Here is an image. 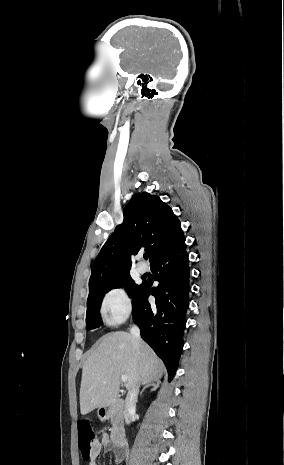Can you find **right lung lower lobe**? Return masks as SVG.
Listing matches in <instances>:
<instances>
[{"mask_svg": "<svg viewBox=\"0 0 284 465\" xmlns=\"http://www.w3.org/2000/svg\"><path fill=\"white\" fill-rule=\"evenodd\" d=\"M151 271L157 287L141 284L132 298L133 320L139 326L142 339L163 360L169 381L174 377L184 345L183 334L191 292V275L185 237L156 258ZM156 297L155 303L148 296Z\"/></svg>", "mask_w": 284, "mask_h": 465, "instance_id": "right-lung-lower-lobe-1", "label": "right lung lower lobe"}]
</instances>
